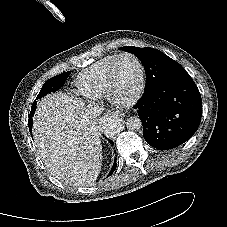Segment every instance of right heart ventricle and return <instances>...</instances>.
Returning <instances> with one entry per match:
<instances>
[{"label":"right heart ventricle","mask_w":227,"mask_h":227,"mask_svg":"<svg viewBox=\"0 0 227 227\" xmlns=\"http://www.w3.org/2000/svg\"><path fill=\"white\" fill-rule=\"evenodd\" d=\"M116 56H106L79 74L76 80L77 91L91 100H98L106 96L107 73Z\"/></svg>","instance_id":"1"}]
</instances>
